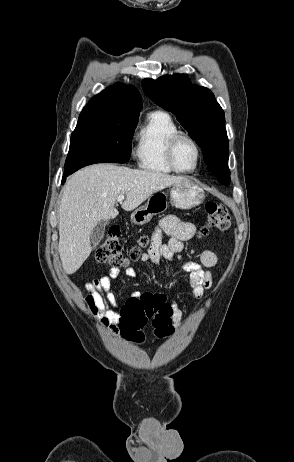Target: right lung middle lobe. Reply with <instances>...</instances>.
<instances>
[{
	"label": "right lung middle lobe",
	"mask_w": 294,
	"mask_h": 462,
	"mask_svg": "<svg viewBox=\"0 0 294 462\" xmlns=\"http://www.w3.org/2000/svg\"><path fill=\"white\" fill-rule=\"evenodd\" d=\"M138 117L108 112L81 113L71 135L64 174L94 163L127 162L130 137Z\"/></svg>",
	"instance_id": "right-lung-middle-lobe-1"
}]
</instances>
